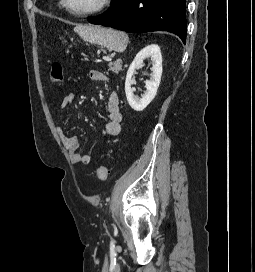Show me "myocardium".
<instances>
[{
  "instance_id": "1",
  "label": "myocardium",
  "mask_w": 255,
  "mask_h": 272,
  "mask_svg": "<svg viewBox=\"0 0 255 272\" xmlns=\"http://www.w3.org/2000/svg\"><path fill=\"white\" fill-rule=\"evenodd\" d=\"M61 1V6L71 15L77 16V17H86V16H90V15H95L98 14L102 11H104L110 4L111 0H101L99 2V4L89 10H85V11H75L73 9L70 8V6L68 5V1L67 0H60Z\"/></svg>"
}]
</instances>
